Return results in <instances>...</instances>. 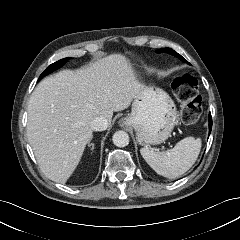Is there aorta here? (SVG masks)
<instances>
[{
    "label": "aorta",
    "instance_id": "762f6f07",
    "mask_svg": "<svg viewBox=\"0 0 240 240\" xmlns=\"http://www.w3.org/2000/svg\"><path fill=\"white\" fill-rule=\"evenodd\" d=\"M112 140L115 146L125 147L129 144V135L127 132L119 130L114 133Z\"/></svg>",
    "mask_w": 240,
    "mask_h": 240
}]
</instances>
